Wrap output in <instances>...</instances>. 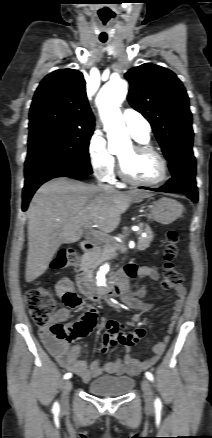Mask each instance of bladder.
<instances>
[{
    "label": "bladder",
    "instance_id": "31cf9c89",
    "mask_svg": "<svg viewBox=\"0 0 212 438\" xmlns=\"http://www.w3.org/2000/svg\"><path fill=\"white\" fill-rule=\"evenodd\" d=\"M134 386L129 376H100L89 382L87 389L97 396H122L128 394Z\"/></svg>",
    "mask_w": 212,
    "mask_h": 438
}]
</instances>
